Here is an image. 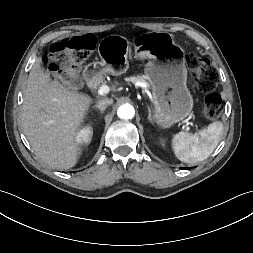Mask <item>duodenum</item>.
I'll return each instance as SVG.
<instances>
[{"instance_id": "duodenum-1", "label": "duodenum", "mask_w": 253, "mask_h": 253, "mask_svg": "<svg viewBox=\"0 0 253 253\" xmlns=\"http://www.w3.org/2000/svg\"><path fill=\"white\" fill-rule=\"evenodd\" d=\"M96 82H97V80H96V78L94 77L93 73H92V72H89V73H88V84H89L90 86H95V85H96Z\"/></svg>"}]
</instances>
